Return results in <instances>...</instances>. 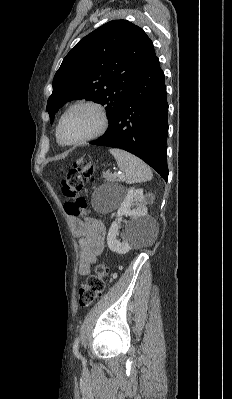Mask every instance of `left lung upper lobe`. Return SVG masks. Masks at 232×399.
I'll return each mask as SVG.
<instances>
[{"label": "left lung upper lobe", "instance_id": "5c2ea615", "mask_svg": "<svg viewBox=\"0 0 232 399\" xmlns=\"http://www.w3.org/2000/svg\"><path fill=\"white\" fill-rule=\"evenodd\" d=\"M151 44L127 20L110 21L81 39L54 76L46 108L51 123L66 102L85 98L106 105L109 129Z\"/></svg>", "mask_w": 232, "mask_h": 399}]
</instances>
